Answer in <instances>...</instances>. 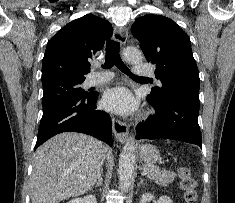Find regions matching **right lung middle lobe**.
I'll return each mask as SVG.
<instances>
[{"label":"right lung middle lobe","mask_w":235,"mask_h":203,"mask_svg":"<svg viewBox=\"0 0 235 203\" xmlns=\"http://www.w3.org/2000/svg\"><path fill=\"white\" fill-rule=\"evenodd\" d=\"M83 81H63L43 85V105L61 97L70 95L87 96L81 87Z\"/></svg>","instance_id":"obj_1"}]
</instances>
